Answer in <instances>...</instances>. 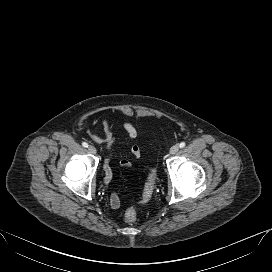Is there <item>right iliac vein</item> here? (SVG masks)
I'll use <instances>...</instances> for the list:
<instances>
[{
  "label": "right iliac vein",
  "instance_id": "63e3f726",
  "mask_svg": "<svg viewBox=\"0 0 272 272\" xmlns=\"http://www.w3.org/2000/svg\"><path fill=\"white\" fill-rule=\"evenodd\" d=\"M88 151L91 153V154H96V148L92 145H89L88 146Z\"/></svg>",
  "mask_w": 272,
  "mask_h": 272
}]
</instances>
